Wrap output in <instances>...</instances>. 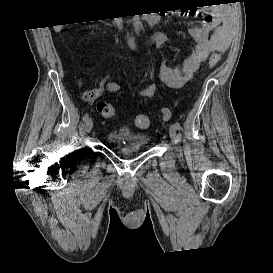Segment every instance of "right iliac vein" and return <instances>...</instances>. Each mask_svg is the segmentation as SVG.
I'll use <instances>...</instances> for the list:
<instances>
[{"label":"right iliac vein","mask_w":273,"mask_h":273,"mask_svg":"<svg viewBox=\"0 0 273 273\" xmlns=\"http://www.w3.org/2000/svg\"><path fill=\"white\" fill-rule=\"evenodd\" d=\"M92 128H93V120H92V118H88L84 124V129H85L86 133H90Z\"/></svg>","instance_id":"obj_1"}]
</instances>
